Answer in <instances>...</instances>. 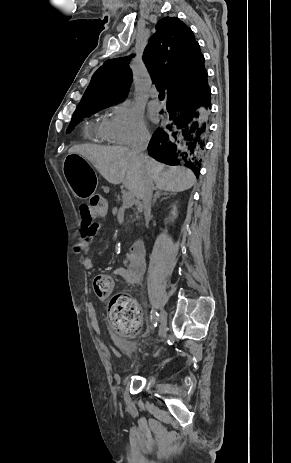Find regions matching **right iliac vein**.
<instances>
[{
    "label": "right iliac vein",
    "mask_w": 291,
    "mask_h": 463,
    "mask_svg": "<svg viewBox=\"0 0 291 463\" xmlns=\"http://www.w3.org/2000/svg\"><path fill=\"white\" fill-rule=\"evenodd\" d=\"M166 325H167V315L164 310H161L160 312V319H159V336H163L166 331Z\"/></svg>",
    "instance_id": "obj_1"
}]
</instances>
